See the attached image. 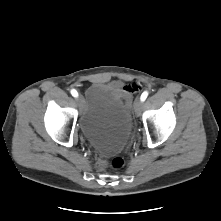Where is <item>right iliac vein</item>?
Segmentation results:
<instances>
[{
    "label": "right iliac vein",
    "mask_w": 221,
    "mask_h": 221,
    "mask_svg": "<svg viewBox=\"0 0 221 221\" xmlns=\"http://www.w3.org/2000/svg\"><path fill=\"white\" fill-rule=\"evenodd\" d=\"M76 102L78 104V106L80 107V109L83 107V97L81 95L76 97Z\"/></svg>",
    "instance_id": "obj_1"
}]
</instances>
